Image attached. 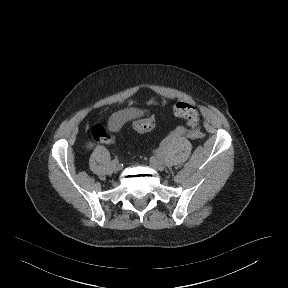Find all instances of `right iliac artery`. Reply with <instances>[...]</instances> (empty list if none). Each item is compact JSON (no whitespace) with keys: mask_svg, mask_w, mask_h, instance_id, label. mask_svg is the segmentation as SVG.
I'll return each mask as SVG.
<instances>
[{"mask_svg":"<svg viewBox=\"0 0 288 288\" xmlns=\"http://www.w3.org/2000/svg\"><path fill=\"white\" fill-rule=\"evenodd\" d=\"M116 161H118V159L115 157V158L113 159V162H116Z\"/></svg>","mask_w":288,"mask_h":288,"instance_id":"right-iliac-artery-1","label":"right iliac artery"}]
</instances>
